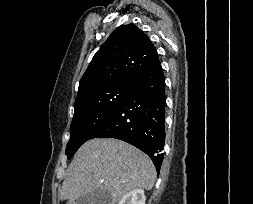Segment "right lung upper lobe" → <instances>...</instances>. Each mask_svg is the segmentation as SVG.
<instances>
[{"mask_svg":"<svg viewBox=\"0 0 253 204\" xmlns=\"http://www.w3.org/2000/svg\"><path fill=\"white\" fill-rule=\"evenodd\" d=\"M157 59V50L143 31L134 24L118 27L94 55L79 82L76 100L111 84L133 83Z\"/></svg>","mask_w":253,"mask_h":204,"instance_id":"1","label":"right lung upper lobe"}]
</instances>
